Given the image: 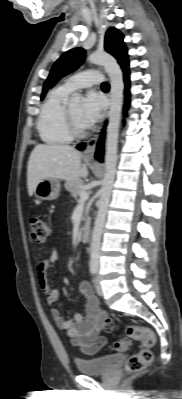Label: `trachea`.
I'll list each match as a JSON object with an SVG mask.
<instances>
[{"mask_svg":"<svg viewBox=\"0 0 182 399\" xmlns=\"http://www.w3.org/2000/svg\"><path fill=\"white\" fill-rule=\"evenodd\" d=\"M102 88H103V89H109V84H108L107 82H104V83L102 84Z\"/></svg>","mask_w":182,"mask_h":399,"instance_id":"obj_1","label":"trachea"}]
</instances>
